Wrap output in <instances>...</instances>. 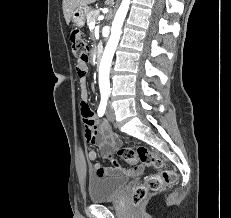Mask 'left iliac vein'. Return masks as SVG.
Wrapping results in <instances>:
<instances>
[{
    "label": "left iliac vein",
    "instance_id": "obj_1",
    "mask_svg": "<svg viewBox=\"0 0 231 218\" xmlns=\"http://www.w3.org/2000/svg\"><path fill=\"white\" fill-rule=\"evenodd\" d=\"M106 117L110 122L115 121V114L112 105L109 103L106 110Z\"/></svg>",
    "mask_w": 231,
    "mask_h": 218
}]
</instances>
